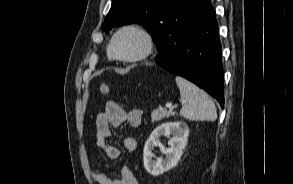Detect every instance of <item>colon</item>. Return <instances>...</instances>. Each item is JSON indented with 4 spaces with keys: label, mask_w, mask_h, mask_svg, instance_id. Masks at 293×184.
I'll return each instance as SVG.
<instances>
[{
    "label": "colon",
    "mask_w": 293,
    "mask_h": 184,
    "mask_svg": "<svg viewBox=\"0 0 293 184\" xmlns=\"http://www.w3.org/2000/svg\"><path fill=\"white\" fill-rule=\"evenodd\" d=\"M99 91L103 95H109L110 92H111V89L107 84L102 83V84L99 85Z\"/></svg>",
    "instance_id": "5ec220e1"
}]
</instances>
